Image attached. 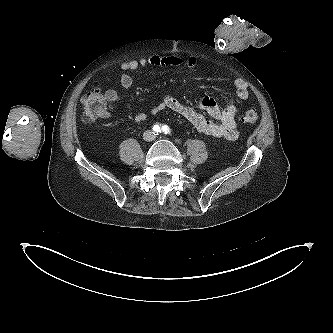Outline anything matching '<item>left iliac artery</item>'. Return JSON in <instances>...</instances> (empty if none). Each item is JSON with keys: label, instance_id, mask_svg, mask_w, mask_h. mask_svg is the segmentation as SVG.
<instances>
[{"label": "left iliac artery", "instance_id": "44dca946", "mask_svg": "<svg viewBox=\"0 0 333 333\" xmlns=\"http://www.w3.org/2000/svg\"><path fill=\"white\" fill-rule=\"evenodd\" d=\"M162 132H164L165 134H168V133H170V128L167 125H163Z\"/></svg>", "mask_w": 333, "mask_h": 333}]
</instances>
